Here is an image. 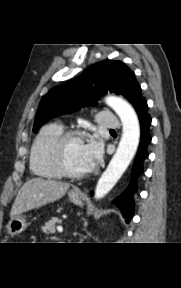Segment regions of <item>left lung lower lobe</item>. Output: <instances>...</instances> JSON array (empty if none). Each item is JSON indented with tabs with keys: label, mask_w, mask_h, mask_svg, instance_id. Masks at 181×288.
Here are the masks:
<instances>
[{
	"label": "left lung lower lobe",
	"mask_w": 181,
	"mask_h": 288,
	"mask_svg": "<svg viewBox=\"0 0 181 288\" xmlns=\"http://www.w3.org/2000/svg\"><path fill=\"white\" fill-rule=\"evenodd\" d=\"M131 103L139 117L141 128L140 145L132 168L131 180L125 191L113 201L120 209L126 222H129L133 216V195L137 191V177L143 173V162L148 156L147 146L151 141L149 133L151 118L147 112V102L141 95V89L135 94Z\"/></svg>",
	"instance_id": "obj_1"
}]
</instances>
